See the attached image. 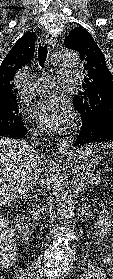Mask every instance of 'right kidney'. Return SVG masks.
<instances>
[{
	"label": "right kidney",
	"instance_id": "right-kidney-1",
	"mask_svg": "<svg viewBox=\"0 0 113 279\" xmlns=\"http://www.w3.org/2000/svg\"><path fill=\"white\" fill-rule=\"evenodd\" d=\"M16 228L21 238L23 240H27L30 233L29 226L24 222L22 218H20V216H17L16 218Z\"/></svg>",
	"mask_w": 113,
	"mask_h": 279
}]
</instances>
